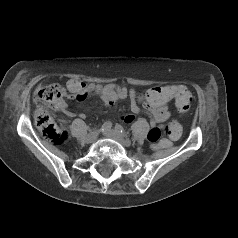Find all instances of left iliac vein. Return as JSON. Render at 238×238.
<instances>
[{
    "label": "left iliac vein",
    "mask_w": 238,
    "mask_h": 238,
    "mask_svg": "<svg viewBox=\"0 0 238 238\" xmlns=\"http://www.w3.org/2000/svg\"><path fill=\"white\" fill-rule=\"evenodd\" d=\"M104 135L111 138V139L116 140L117 142H119L123 146H129L130 145V141L128 139H125L124 136L116 130H106V131H104Z\"/></svg>",
    "instance_id": "left-iliac-vein-1"
}]
</instances>
